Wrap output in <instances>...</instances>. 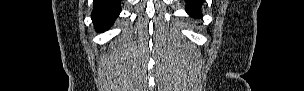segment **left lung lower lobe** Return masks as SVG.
Returning a JSON list of instances; mask_svg holds the SVG:
<instances>
[{
    "mask_svg": "<svg viewBox=\"0 0 304 91\" xmlns=\"http://www.w3.org/2000/svg\"><path fill=\"white\" fill-rule=\"evenodd\" d=\"M202 1L200 0H186V11L189 15L195 17H201L199 11Z\"/></svg>",
    "mask_w": 304,
    "mask_h": 91,
    "instance_id": "left-lung-lower-lobe-1",
    "label": "left lung lower lobe"
}]
</instances>
